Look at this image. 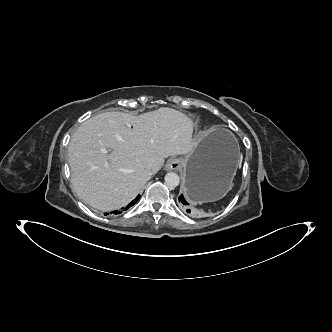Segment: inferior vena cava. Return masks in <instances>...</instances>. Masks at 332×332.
Returning <instances> with one entry per match:
<instances>
[{"label": "inferior vena cava", "mask_w": 332, "mask_h": 332, "mask_svg": "<svg viewBox=\"0 0 332 332\" xmlns=\"http://www.w3.org/2000/svg\"><path fill=\"white\" fill-rule=\"evenodd\" d=\"M147 169H148V171H149L150 173H153V171H154V167H153L152 164H149V165L147 166Z\"/></svg>", "instance_id": "602c4592"}]
</instances>
